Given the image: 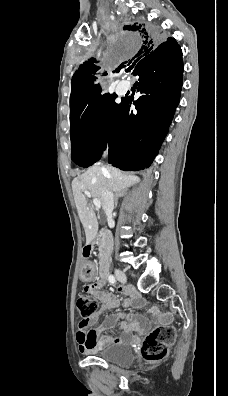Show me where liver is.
<instances>
[{
	"label": "liver",
	"mask_w": 228,
	"mask_h": 396,
	"mask_svg": "<svg viewBox=\"0 0 228 396\" xmlns=\"http://www.w3.org/2000/svg\"><path fill=\"white\" fill-rule=\"evenodd\" d=\"M139 180L137 176L125 174L111 166L104 168L99 164L91 166L85 173L73 179L74 200L85 230L87 244L94 239L98 230V222L83 192H90L91 196L100 200L103 206L102 191L104 187L113 192L125 191Z\"/></svg>",
	"instance_id": "6515ba94"
}]
</instances>
